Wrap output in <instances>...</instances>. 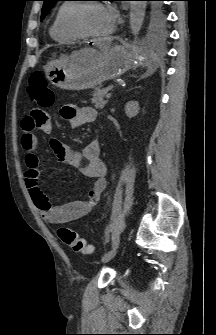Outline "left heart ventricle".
Segmentation results:
<instances>
[{"mask_svg": "<svg viewBox=\"0 0 216 335\" xmlns=\"http://www.w3.org/2000/svg\"><path fill=\"white\" fill-rule=\"evenodd\" d=\"M82 21L87 30L95 33H103L111 28L103 6H88L83 12Z\"/></svg>", "mask_w": 216, "mask_h": 335, "instance_id": "1", "label": "left heart ventricle"}]
</instances>
